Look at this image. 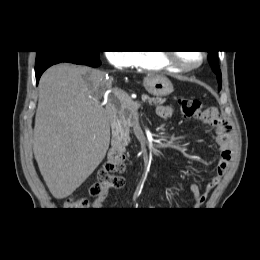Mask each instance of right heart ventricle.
Returning <instances> with one entry per match:
<instances>
[{"label": "right heart ventricle", "mask_w": 260, "mask_h": 260, "mask_svg": "<svg viewBox=\"0 0 260 260\" xmlns=\"http://www.w3.org/2000/svg\"><path fill=\"white\" fill-rule=\"evenodd\" d=\"M134 55V66L136 68L152 71L178 72V69L172 67L158 51H137Z\"/></svg>", "instance_id": "right-heart-ventricle-1"}]
</instances>
